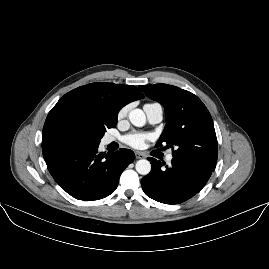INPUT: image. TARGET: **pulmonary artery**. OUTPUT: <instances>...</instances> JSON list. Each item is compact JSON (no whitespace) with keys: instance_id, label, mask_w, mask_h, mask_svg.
I'll use <instances>...</instances> for the list:
<instances>
[{"instance_id":"1","label":"pulmonary artery","mask_w":269,"mask_h":269,"mask_svg":"<svg viewBox=\"0 0 269 269\" xmlns=\"http://www.w3.org/2000/svg\"><path fill=\"white\" fill-rule=\"evenodd\" d=\"M144 112L146 114L148 123H150L152 125H155V124L161 122V120L163 118V108L158 103L146 104L144 106ZM114 140L115 139L112 137H107V138H105L104 143L109 144ZM172 159H173V156L171 153L166 156L167 162H171Z\"/></svg>"}]
</instances>
